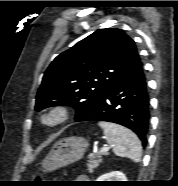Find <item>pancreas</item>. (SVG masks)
<instances>
[{"instance_id":"obj_1","label":"pancreas","mask_w":178,"mask_h":186,"mask_svg":"<svg viewBox=\"0 0 178 186\" xmlns=\"http://www.w3.org/2000/svg\"><path fill=\"white\" fill-rule=\"evenodd\" d=\"M106 154V153H104ZM102 161V158L101 156H97L96 158L94 159H91L89 161V163L87 164V170L89 173H92L94 171L95 168H97L99 166V163Z\"/></svg>"}]
</instances>
